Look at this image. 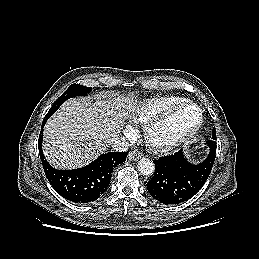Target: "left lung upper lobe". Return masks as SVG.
Returning <instances> with one entry per match:
<instances>
[{
    "label": "left lung upper lobe",
    "mask_w": 259,
    "mask_h": 259,
    "mask_svg": "<svg viewBox=\"0 0 259 259\" xmlns=\"http://www.w3.org/2000/svg\"><path fill=\"white\" fill-rule=\"evenodd\" d=\"M215 140H216V131H215V127H214L213 131H212V140H208L207 143L208 144H216Z\"/></svg>",
    "instance_id": "5c2ea615"
}]
</instances>
